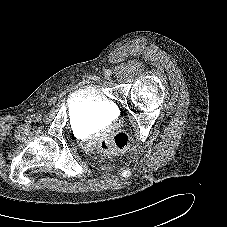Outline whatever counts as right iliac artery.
I'll use <instances>...</instances> for the list:
<instances>
[{"label":"right iliac artery","mask_w":227,"mask_h":227,"mask_svg":"<svg viewBox=\"0 0 227 227\" xmlns=\"http://www.w3.org/2000/svg\"><path fill=\"white\" fill-rule=\"evenodd\" d=\"M25 121L26 122H31V118L30 117H27Z\"/></svg>","instance_id":"right-iliac-artery-1"}]
</instances>
